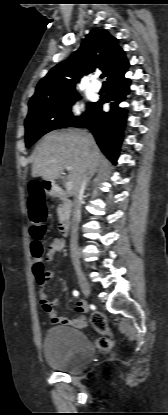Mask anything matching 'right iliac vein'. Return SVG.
Masks as SVG:
<instances>
[{"mask_svg":"<svg viewBox=\"0 0 168 415\" xmlns=\"http://www.w3.org/2000/svg\"><path fill=\"white\" fill-rule=\"evenodd\" d=\"M77 276H78L80 287H81L84 295L86 297H89L90 294H91V287H90L89 282L87 281L86 277L84 276V274L81 271L77 272Z\"/></svg>","mask_w":168,"mask_h":415,"instance_id":"63e3f726","label":"right iliac vein"}]
</instances>
